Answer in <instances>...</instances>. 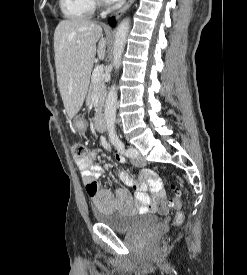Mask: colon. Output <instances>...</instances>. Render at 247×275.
Here are the masks:
<instances>
[{
	"label": "colon",
	"mask_w": 247,
	"mask_h": 275,
	"mask_svg": "<svg viewBox=\"0 0 247 275\" xmlns=\"http://www.w3.org/2000/svg\"><path fill=\"white\" fill-rule=\"evenodd\" d=\"M71 152L75 160H82L87 156V148L82 143H74L71 147ZM96 185L95 184H87L86 191L88 194H94L96 192ZM170 208L176 211L175 215V224L181 225L184 219V214L180 211L181 207V196L180 192L176 191L174 194L173 199L169 204Z\"/></svg>",
	"instance_id": "1"
}]
</instances>
